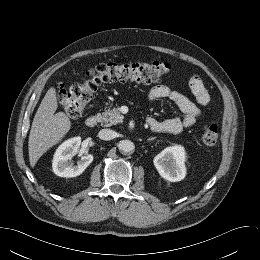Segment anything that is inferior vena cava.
Returning a JSON list of instances; mask_svg holds the SVG:
<instances>
[{"label":"inferior vena cava","mask_w":260,"mask_h":260,"mask_svg":"<svg viewBox=\"0 0 260 260\" xmlns=\"http://www.w3.org/2000/svg\"><path fill=\"white\" fill-rule=\"evenodd\" d=\"M98 137L102 140H111L114 138V131L110 129H102L99 131Z\"/></svg>","instance_id":"inferior-vena-cava-1"}]
</instances>
